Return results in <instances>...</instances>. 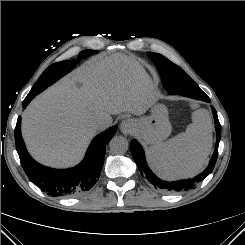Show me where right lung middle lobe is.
<instances>
[{
	"mask_svg": "<svg viewBox=\"0 0 245 245\" xmlns=\"http://www.w3.org/2000/svg\"><path fill=\"white\" fill-rule=\"evenodd\" d=\"M96 53L95 50H84L79 53L78 60H64L50 65L40 76V78L33 85L31 91L27 95L28 98L33 99L37 94L45 90L48 86L56 82L62 76L70 72L74 66L82 59L90 54Z\"/></svg>",
	"mask_w": 245,
	"mask_h": 245,
	"instance_id": "right-lung-middle-lobe-1",
	"label": "right lung middle lobe"
}]
</instances>
